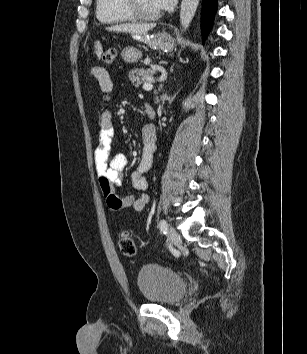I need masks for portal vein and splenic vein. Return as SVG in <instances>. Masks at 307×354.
<instances>
[{
  "label": "portal vein and splenic vein",
  "instance_id": "18ae733b",
  "mask_svg": "<svg viewBox=\"0 0 307 354\" xmlns=\"http://www.w3.org/2000/svg\"><path fill=\"white\" fill-rule=\"evenodd\" d=\"M163 78H160V80H162ZM152 80H150L149 82L147 83H144L143 85V89L146 90V91H149V90H152L153 89V85H152Z\"/></svg>",
  "mask_w": 307,
  "mask_h": 354
}]
</instances>
